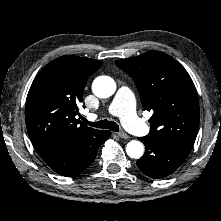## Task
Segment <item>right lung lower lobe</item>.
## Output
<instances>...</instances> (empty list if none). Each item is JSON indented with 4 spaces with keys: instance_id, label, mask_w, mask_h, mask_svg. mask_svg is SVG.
Instances as JSON below:
<instances>
[{
    "instance_id": "obj_1",
    "label": "right lung lower lobe",
    "mask_w": 221,
    "mask_h": 221,
    "mask_svg": "<svg viewBox=\"0 0 221 221\" xmlns=\"http://www.w3.org/2000/svg\"><path fill=\"white\" fill-rule=\"evenodd\" d=\"M110 131H97L79 139H57L34 144L45 163L56 173L72 177L93 163L97 151Z\"/></svg>"
}]
</instances>
